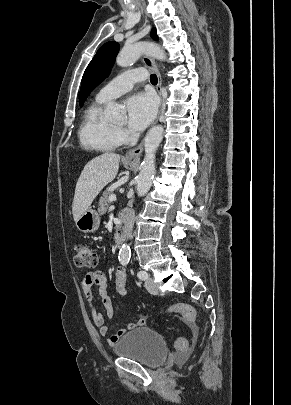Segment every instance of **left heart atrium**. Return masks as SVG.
<instances>
[{
	"label": "left heart atrium",
	"mask_w": 291,
	"mask_h": 405,
	"mask_svg": "<svg viewBox=\"0 0 291 405\" xmlns=\"http://www.w3.org/2000/svg\"><path fill=\"white\" fill-rule=\"evenodd\" d=\"M156 100L149 93L133 95L127 102L128 128L132 132L144 130L156 114Z\"/></svg>",
	"instance_id": "left-heart-atrium-1"
}]
</instances>
